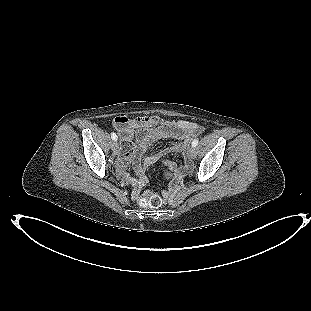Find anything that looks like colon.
<instances>
[{"mask_svg": "<svg viewBox=\"0 0 311 311\" xmlns=\"http://www.w3.org/2000/svg\"><path fill=\"white\" fill-rule=\"evenodd\" d=\"M148 122L154 124L157 122L156 117L148 118ZM140 203L144 206L151 208H157L163 203L162 198L155 192H147L143 198H141Z\"/></svg>", "mask_w": 311, "mask_h": 311, "instance_id": "obj_1", "label": "colon"}]
</instances>
